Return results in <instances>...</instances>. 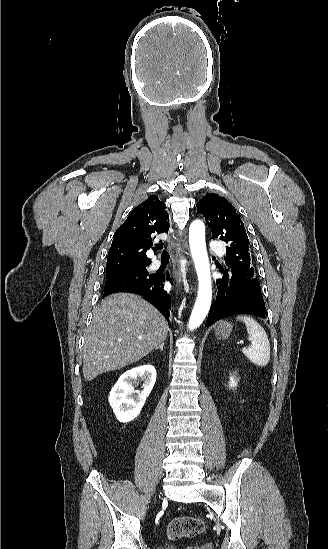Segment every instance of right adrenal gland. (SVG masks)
<instances>
[{"label":"right adrenal gland","instance_id":"1","mask_svg":"<svg viewBox=\"0 0 328 549\" xmlns=\"http://www.w3.org/2000/svg\"><path fill=\"white\" fill-rule=\"evenodd\" d=\"M164 345H165V343H162V345H160V347H157V349H160V351H163Z\"/></svg>","mask_w":328,"mask_h":549}]
</instances>
